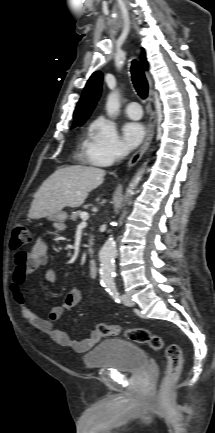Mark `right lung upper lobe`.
Returning a JSON list of instances; mask_svg holds the SVG:
<instances>
[{"label":"right lung upper lobe","instance_id":"obj_1","mask_svg":"<svg viewBox=\"0 0 215 433\" xmlns=\"http://www.w3.org/2000/svg\"><path fill=\"white\" fill-rule=\"evenodd\" d=\"M141 60L144 67L147 69L144 52L142 53ZM101 81L102 73L100 71L94 72L88 80L74 112V119L76 122H85L91 111L94 109L101 93Z\"/></svg>","mask_w":215,"mask_h":433}]
</instances>
